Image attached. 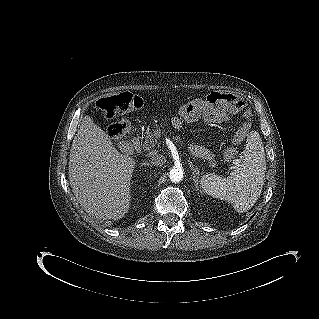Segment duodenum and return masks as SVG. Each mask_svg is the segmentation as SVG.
Listing matches in <instances>:
<instances>
[{
  "label": "duodenum",
  "mask_w": 319,
  "mask_h": 319,
  "mask_svg": "<svg viewBox=\"0 0 319 319\" xmlns=\"http://www.w3.org/2000/svg\"><path fill=\"white\" fill-rule=\"evenodd\" d=\"M140 144H141L140 137L138 135H135L133 140H132V143H131L133 150H135V151L139 150Z\"/></svg>",
  "instance_id": "410a0bca"
}]
</instances>
